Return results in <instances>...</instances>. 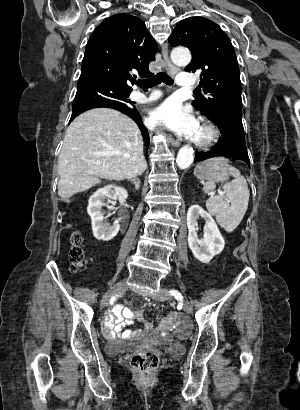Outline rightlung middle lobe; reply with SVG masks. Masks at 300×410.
<instances>
[{
	"mask_svg": "<svg viewBox=\"0 0 300 410\" xmlns=\"http://www.w3.org/2000/svg\"><path fill=\"white\" fill-rule=\"evenodd\" d=\"M131 91L122 90L100 82H78L72 109L95 102H110L128 106L126 98Z\"/></svg>",
	"mask_w": 300,
	"mask_h": 410,
	"instance_id": "right-lung-middle-lobe-1",
	"label": "right lung middle lobe"
}]
</instances>
